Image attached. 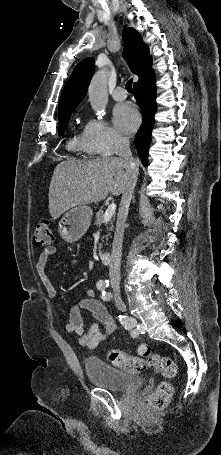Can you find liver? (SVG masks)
<instances>
[{"label":"liver","mask_w":221,"mask_h":455,"mask_svg":"<svg viewBox=\"0 0 221 455\" xmlns=\"http://www.w3.org/2000/svg\"><path fill=\"white\" fill-rule=\"evenodd\" d=\"M135 162L138 166L139 162ZM127 180L126 161L119 157L62 161L51 179L49 212L53 219H58L70 208L99 202L109 193L119 196Z\"/></svg>","instance_id":"liver-1"}]
</instances>
